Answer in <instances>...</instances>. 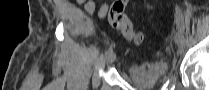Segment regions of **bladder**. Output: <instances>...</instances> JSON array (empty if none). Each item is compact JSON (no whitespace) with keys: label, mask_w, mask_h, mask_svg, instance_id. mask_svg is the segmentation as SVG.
<instances>
[{"label":"bladder","mask_w":209,"mask_h":90,"mask_svg":"<svg viewBox=\"0 0 209 90\" xmlns=\"http://www.w3.org/2000/svg\"><path fill=\"white\" fill-rule=\"evenodd\" d=\"M168 64L160 61H144L129 66V78L144 87H151L159 83L168 75Z\"/></svg>","instance_id":"1"}]
</instances>
